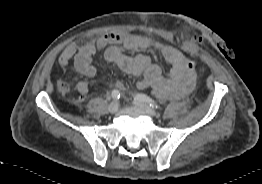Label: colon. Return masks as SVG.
I'll use <instances>...</instances> for the list:
<instances>
[{"label":"colon","mask_w":262,"mask_h":184,"mask_svg":"<svg viewBox=\"0 0 262 184\" xmlns=\"http://www.w3.org/2000/svg\"><path fill=\"white\" fill-rule=\"evenodd\" d=\"M184 68L186 72V80L184 83V91L188 92L193 89L197 76V63L190 55H184ZM58 88L63 93H68L70 91V86L65 82H60Z\"/></svg>","instance_id":"obj_1"}]
</instances>
